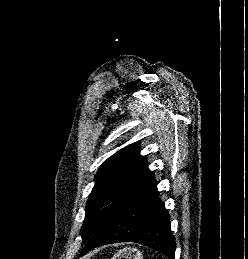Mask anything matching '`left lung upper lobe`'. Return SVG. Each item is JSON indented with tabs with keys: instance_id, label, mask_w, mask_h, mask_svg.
<instances>
[{
	"instance_id": "left-lung-upper-lobe-1",
	"label": "left lung upper lobe",
	"mask_w": 248,
	"mask_h": 259,
	"mask_svg": "<svg viewBox=\"0 0 248 259\" xmlns=\"http://www.w3.org/2000/svg\"><path fill=\"white\" fill-rule=\"evenodd\" d=\"M153 173L138 143L119 150L108 158L96 175V184L86 205L82 240L89 239L132 202L156 188Z\"/></svg>"
}]
</instances>
